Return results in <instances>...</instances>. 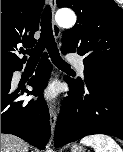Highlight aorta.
I'll list each match as a JSON object with an SVG mask.
<instances>
[{
  "instance_id": "obj_1",
  "label": "aorta",
  "mask_w": 123,
  "mask_h": 152,
  "mask_svg": "<svg viewBox=\"0 0 123 152\" xmlns=\"http://www.w3.org/2000/svg\"><path fill=\"white\" fill-rule=\"evenodd\" d=\"M56 22L63 28H71L76 22V15L71 10H60L55 16Z\"/></svg>"
}]
</instances>
